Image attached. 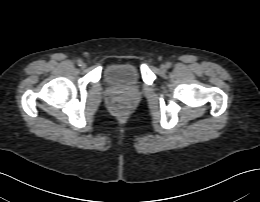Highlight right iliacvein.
<instances>
[{"instance_id": "1", "label": "right iliac vein", "mask_w": 260, "mask_h": 202, "mask_svg": "<svg viewBox=\"0 0 260 202\" xmlns=\"http://www.w3.org/2000/svg\"><path fill=\"white\" fill-rule=\"evenodd\" d=\"M81 67H82V68H85V67H86V64H85V63H82V64H81Z\"/></svg>"}]
</instances>
